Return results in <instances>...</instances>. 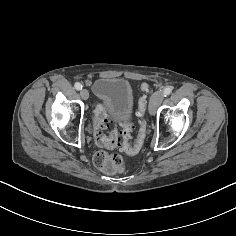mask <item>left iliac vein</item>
Wrapping results in <instances>:
<instances>
[{"mask_svg": "<svg viewBox=\"0 0 236 236\" xmlns=\"http://www.w3.org/2000/svg\"><path fill=\"white\" fill-rule=\"evenodd\" d=\"M164 99V93L162 91H156L150 98L149 102V113L154 115L158 106L162 103Z\"/></svg>", "mask_w": 236, "mask_h": 236, "instance_id": "left-iliac-vein-1", "label": "left iliac vein"}]
</instances>
